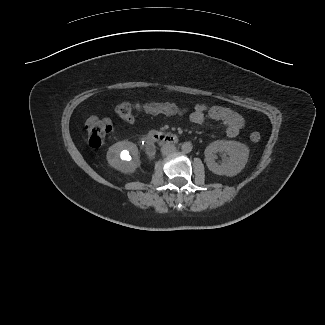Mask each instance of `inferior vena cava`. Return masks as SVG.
<instances>
[{
    "label": "inferior vena cava",
    "mask_w": 325,
    "mask_h": 325,
    "mask_svg": "<svg viewBox=\"0 0 325 325\" xmlns=\"http://www.w3.org/2000/svg\"><path fill=\"white\" fill-rule=\"evenodd\" d=\"M176 151V147L172 144H165L161 148V152L163 155H171Z\"/></svg>",
    "instance_id": "inferior-vena-cava-1"
}]
</instances>
